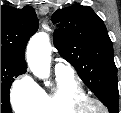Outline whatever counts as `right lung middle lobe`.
<instances>
[{
	"instance_id": "1",
	"label": "right lung middle lobe",
	"mask_w": 121,
	"mask_h": 113,
	"mask_svg": "<svg viewBox=\"0 0 121 113\" xmlns=\"http://www.w3.org/2000/svg\"><path fill=\"white\" fill-rule=\"evenodd\" d=\"M26 68L5 57H1V113H11L9 89L14 77L25 73Z\"/></svg>"
}]
</instances>
